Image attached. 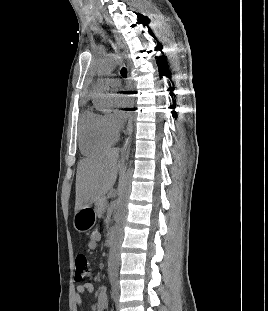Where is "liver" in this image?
I'll use <instances>...</instances> for the list:
<instances>
[{
    "label": "liver",
    "instance_id": "1",
    "mask_svg": "<svg viewBox=\"0 0 268 311\" xmlns=\"http://www.w3.org/2000/svg\"><path fill=\"white\" fill-rule=\"evenodd\" d=\"M118 149L79 162L76 174L75 211L92 205L114 185L120 168Z\"/></svg>",
    "mask_w": 268,
    "mask_h": 311
}]
</instances>
